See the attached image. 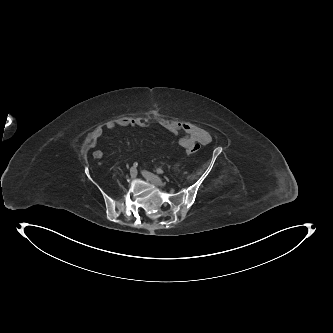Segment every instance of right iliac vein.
Listing matches in <instances>:
<instances>
[{
    "instance_id": "63e3f726",
    "label": "right iliac vein",
    "mask_w": 333,
    "mask_h": 333,
    "mask_svg": "<svg viewBox=\"0 0 333 333\" xmlns=\"http://www.w3.org/2000/svg\"><path fill=\"white\" fill-rule=\"evenodd\" d=\"M130 176L131 178H135L137 176V171L134 167L130 169Z\"/></svg>"
}]
</instances>
